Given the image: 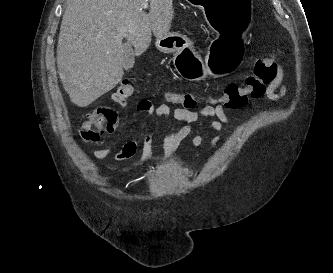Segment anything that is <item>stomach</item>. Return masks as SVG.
<instances>
[{"instance_id": "stomach-1", "label": "stomach", "mask_w": 333, "mask_h": 273, "mask_svg": "<svg viewBox=\"0 0 333 273\" xmlns=\"http://www.w3.org/2000/svg\"><path fill=\"white\" fill-rule=\"evenodd\" d=\"M205 12L207 27L219 32L220 38H245L255 16H252L253 0H186ZM244 39H216L209 45V58H194L192 43L186 35L169 32L157 38L155 45L163 53H175V70L183 75H236L238 65H245Z\"/></svg>"}]
</instances>
